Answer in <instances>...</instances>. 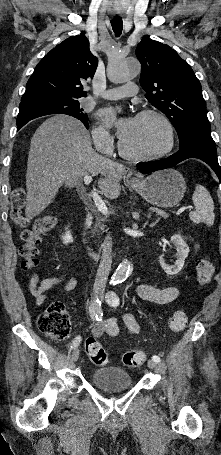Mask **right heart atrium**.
Segmentation results:
<instances>
[{
    "label": "right heart atrium",
    "mask_w": 221,
    "mask_h": 455,
    "mask_svg": "<svg viewBox=\"0 0 221 455\" xmlns=\"http://www.w3.org/2000/svg\"><path fill=\"white\" fill-rule=\"evenodd\" d=\"M92 139L96 150L102 154L110 153L113 138L110 132L103 126H96L92 130Z\"/></svg>",
    "instance_id": "obj_1"
}]
</instances>
